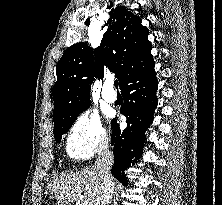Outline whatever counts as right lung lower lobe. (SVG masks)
<instances>
[{"label": "right lung lower lobe", "instance_id": "right-lung-lower-lobe-1", "mask_svg": "<svg viewBox=\"0 0 222 205\" xmlns=\"http://www.w3.org/2000/svg\"><path fill=\"white\" fill-rule=\"evenodd\" d=\"M158 82L154 66L121 86L124 105L120 112L127 117V128L120 130L116 119L112 120L111 145L113 147V176L122 184L127 183L124 171L142 155L145 131L153 121L158 99Z\"/></svg>", "mask_w": 222, "mask_h": 205}]
</instances>
